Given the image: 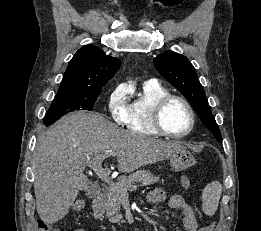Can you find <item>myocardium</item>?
Wrapping results in <instances>:
<instances>
[{"instance_id":"obj_1","label":"myocardium","mask_w":261,"mask_h":231,"mask_svg":"<svg viewBox=\"0 0 261 231\" xmlns=\"http://www.w3.org/2000/svg\"><path fill=\"white\" fill-rule=\"evenodd\" d=\"M172 100H178L184 104L186 107L188 113H189V118H190V124L189 127L182 133H171L167 131L163 125V111L165 107L172 101ZM152 123L154 128L159 132V134L171 137V138H183L187 135H189L194 126H195V113L193 110L192 105L189 103L187 99L180 95L176 94H167L164 97H162L160 100L157 101L156 105L154 106L153 113H152Z\"/></svg>"}]
</instances>
